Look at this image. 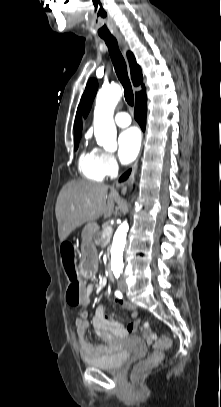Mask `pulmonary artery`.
<instances>
[{
    "instance_id": "pulmonary-artery-1",
    "label": "pulmonary artery",
    "mask_w": 221,
    "mask_h": 407,
    "mask_svg": "<svg viewBox=\"0 0 221 407\" xmlns=\"http://www.w3.org/2000/svg\"><path fill=\"white\" fill-rule=\"evenodd\" d=\"M114 120L119 127H127L131 124V117L127 112L117 113Z\"/></svg>"
}]
</instances>
